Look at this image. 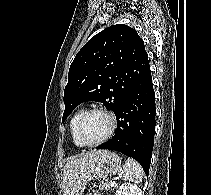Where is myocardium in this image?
<instances>
[{"mask_svg":"<svg viewBox=\"0 0 211 195\" xmlns=\"http://www.w3.org/2000/svg\"><path fill=\"white\" fill-rule=\"evenodd\" d=\"M93 112H100V113L105 114L110 120V127H109L107 133L100 140L93 142V143H85L80 138V133H79L80 125H81L84 117ZM116 128H117V117L113 111H111L110 109L105 108V107H92V108H89V109L83 111L80 114V116L76 122L75 135H76L78 142L80 143V145L82 147H95V146H99V145L103 144L108 139H110L112 137V135L114 134Z\"/></svg>","mask_w":211,"mask_h":195,"instance_id":"myocardium-1","label":"myocardium"}]
</instances>
